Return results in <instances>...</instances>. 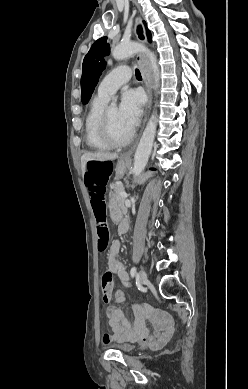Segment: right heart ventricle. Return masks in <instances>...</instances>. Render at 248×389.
<instances>
[{"label":"right heart ventricle","instance_id":"1","mask_svg":"<svg viewBox=\"0 0 248 389\" xmlns=\"http://www.w3.org/2000/svg\"><path fill=\"white\" fill-rule=\"evenodd\" d=\"M108 97L97 94L90 102L85 117V139L89 147L97 150H108L110 146L100 134L101 118L106 107Z\"/></svg>","mask_w":248,"mask_h":389}]
</instances>
